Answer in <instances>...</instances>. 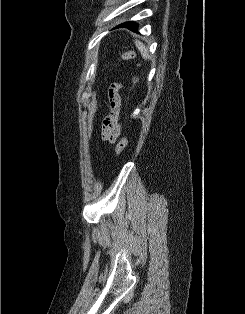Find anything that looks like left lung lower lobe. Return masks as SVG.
I'll return each mask as SVG.
<instances>
[{"label":"left lung lower lobe","instance_id":"obj_1","mask_svg":"<svg viewBox=\"0 0 245 314\" xmlns=\"http://www.w3.org/2000/svg\"><path fill=\"white\" fill-rule=\"evenodd\" d=\"M125 27H128L131 30L137 31V24L135 22H129Z\"/></svg>","mask_w":245,"mask_h":314}]
</instances>
